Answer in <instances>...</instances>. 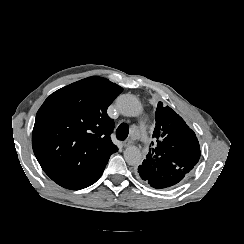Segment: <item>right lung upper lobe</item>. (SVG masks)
<instances>
[{"label": "right lung upper lobe", "mask_w": 244, "mask_h": 244, "mask_svg": "<svg viewBox=\"0 0 244 244\" xmlns=\"http://www.w3.org/2000/svg\"><path fill=\"white\" fill-rule=\"evenodd\" d=\"M122 90L105 78L92 76L45 100L36 115L32 146L52 180L87 173L92 162L98 164L118 150L110 139L114 122L106 111Z\"/></svg>", "instance_id": "right-lung-upper-lobe-1"}]
</instances>
